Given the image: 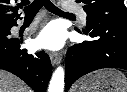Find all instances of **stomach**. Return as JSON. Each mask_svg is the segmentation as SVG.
<instances>
[{"mask_svg": "<svg viewBox=\"0 0 127 92\" xmlns=\"http://www.w3.org/2000/svg\"><path fill=\"white\" fill-rule=\"evenodd\" d=\"M76 92H127V78L116 69H104L85 77Z\"/></svg>", "mask_w": 127, "mask_h": 92, "instance_id": "0dacf381", "label": "stomach"}]
</instances>
